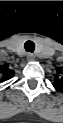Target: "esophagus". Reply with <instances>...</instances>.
<instances>
[{
  "label": "esophagus",
  "mask_w": 63,
  "mask_h": 123,
  "mask_svg": "<svg viewBox=\"0 0 63 123\" xmlns=\"http://www.w3.org/2000/svg\"><path fill=\"white\" fill-rule=\"evenodd\" d=\"M27 58L28 60L33 61L35 60V55L33 53H28Z\"/></svg>",
  "instance_id": "esophagus-1"
}]
</instances>
